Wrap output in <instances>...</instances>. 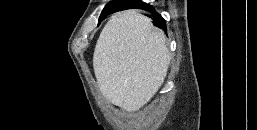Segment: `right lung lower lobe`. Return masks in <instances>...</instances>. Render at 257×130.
Returning <instances> with one entry per match:
<instances>
[{
	"instance_id": "right-lung-lower-lobe-1",
	"label": "right lung lower lobe",
	"mask_w": 257,
	"mask_h": 130,
	"mask_svg": "<svg viewBox=\"0 0 257 130\" xmlns=\"http://www.w3.org/2000/svg\"><path fill=\"white\" fill-rule=\"evenodd\" d=\"M127 1H130V2L126 3L123 7L119 8L116 11L126 10V9H134V8L149 11V12L153 13V17H154L153 23L159 27L166 29V21L161 17L160 14L155 12L154 8L151 5L146 4L141 0H127ZM113 12H115V11H113ZM101 20L102 19H100L99 22Z\"/></svg>"
}]
</instances>
